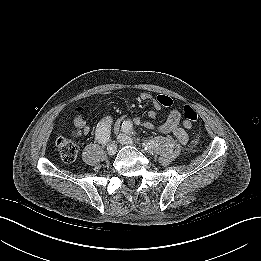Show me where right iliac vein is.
Masks as SVG:
<instances>
[{
  "instance_id": "right-iliac-vein-1",
  "label": "right iliac vein",
  "mask_w": 261,
  "mask_h": 261,
  "mask_svg": "<svg viewBox=\"0 0 261 261\" xmlns=\"http://www.w3.org/2000/svg\"><path fill=\"white\" fill-rule=\"evenodd\" d=\"M116 150H117L116 143L114 141H110L107 145V152L112 155L116 152Z\"/></svg>"
}]
</instances>
